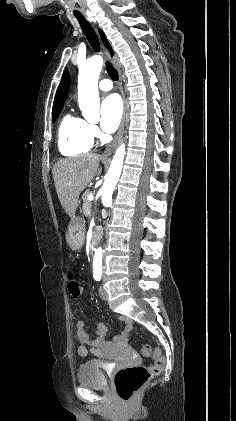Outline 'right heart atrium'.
Masks as SVG:
<instances>
[{
	"label": "right heart atrium",
	"instance_id": "d8ad5b80",
	"mask_svg": "<svg viewBox=\"0 0 236 421\" xmlns=\"http://www.w3.org/2000/svg\"><path fill=\"white\" fill-rule=\"evenodd\" d=\"M89 126H90V131H91L92 135L94 137H97L99 135V131H98L97 126L95 124H90Z\"/></svg>",
	"mask_w": 236,
	"mask_h": 421
}]
</instances>
